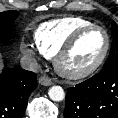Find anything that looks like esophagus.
<instances>
[{"label":"esophagus","instance_id":"34e87169","mask_svg":"<svg viewBox=\"0 0 118 118\" xmlns=\"http://www.w3.org/2000/svg\"><path fill=\"white\" fill-rule=\"evenodd\" d=\"M38 81L43 86H50L53 84L52 80L47 76H41Z\"/></svg>","mask_w":118,"mask_h":118}]
</instances>
